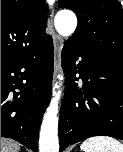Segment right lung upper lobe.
I'll list each match as a JSON object with an SVG mask.
<instances>
[{"label": "right lung upper lobe", "mask_w": 123, "mask_h": 152, "mask_svg": "<svg viewBox=\"0 0 123 152\" xmlns=\"http://www.w3.org/2000/svg\"><path fill=\"white\" fill-rule=\"evenodd\" d=\"M45 0H1V61L23 58L50 36Z\"/></svg>", "instance_id": "cb5924a9"}]
</instances>
